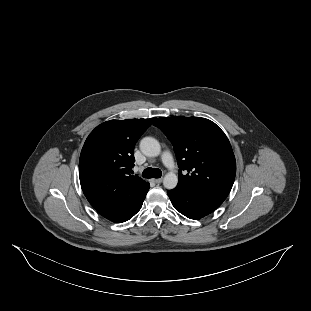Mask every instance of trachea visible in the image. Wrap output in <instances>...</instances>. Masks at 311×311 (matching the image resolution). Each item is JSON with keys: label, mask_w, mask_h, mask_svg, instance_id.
Masks as SVG:
<instances>
[{"label": "trachea", "mask_w": 311, "mask_h": 311, "mask_svg": "<svg viewBox=\"0 0 311 311\" xmlns=\"http://www.w3.org/2000/svg\"><path fill=\"white\" fill-rule=\"evenodd\" d=\"M161 175L162 172L160 169L151 167L146 168L142 173L144 178H160Z\"/></svg>", "instance_id": "obj_1"}]
</instances>
